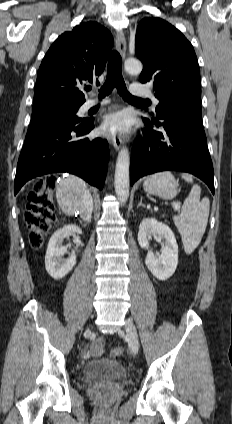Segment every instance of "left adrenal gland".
I'll return each instance as SVG.
<instances>
[{
  "label": "left adrenal gland",
  "mask_w": 232,
  "mask_h": 424,
  "mask_svg": "<svg viewBox=\"0 0 232 424\" xmlns=\"http://www.w3.org/2000/svg\"><path fill=\"white\" fill-rule=\"evenodd\" d=\"M139 207H145V205L142 203V197L140 198V202H139V204L137 205V209H138Z\"/></svg>",
  "instance_id": "a2214340"
}]
</instances>
